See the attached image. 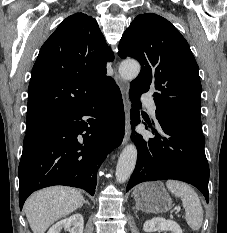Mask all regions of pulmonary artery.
Here are the masks:
<instances>
[{"label": "pulmonary artery", "mask_w": 227, "mask_h": 233, "mask_svg": "<svg viewBox=\"0 0 227 233\" xmlns=\"http://www.w3.org/2000/svg\"><path fill=\"white\" fill-rule=\"evenodd\" d=\"M142 100H143V103L145 104V106L147 107L148 111L150 112V114L155 116L156 115V105H155L154 100L148 96H144L142 98Z\"/></svg>", "instance_id": "pulmonary-artery-1"}]
</instances>
